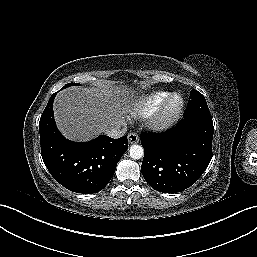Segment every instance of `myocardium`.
I'll list each match as a JSON object with an SVG mask.
<instances>
[{
  "mask_svg": "<svg viewBox=\"0 0 257 257\" xmlns=\"http://www.w3.org/2000/svg\"><path fill=\"white\" fill-rule=\"evenodd\" d=\"M178 104L172 108V102ZM184 98L179 93H171L167 99L149 117L148 124L154 131L162 132L171 129L181 118L184 111Z\"/></svg>",
  "mask_w": 257,
  "mask_h": 257,
  "instance_id": "myocardium-1",
  "label": "myocardium"
}]
</instances>
